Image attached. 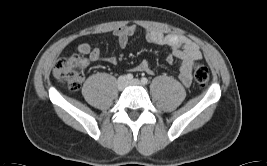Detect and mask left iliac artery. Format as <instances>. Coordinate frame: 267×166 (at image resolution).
I'll return each instance as SVG.
<instances>
[{
    "instance_id": "44dca946",
    "label": "left iliac artery",
    "mask_w": 267,
    "mask_h": 166,
    "mask_svg": "<svg viewBox=\"0 0 267 166\" xmlns=\"http://www.w3.org/2000/svg\"><path fill=\"white\" fill-rule=\"evenodd\" d=\"M141 82H142L143 84H145V83H147V79H146V78H142V79H141Z\"/></svg>"
}]
</instances>
